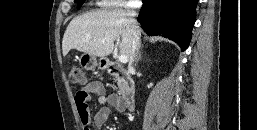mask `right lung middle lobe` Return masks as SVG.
Wrapping results in <instances>:
<instances>
[{
	"label": "right lung middle lobe",
	"mask_w": 257,
	"mask_h": 130,
	"mask_svg": "<svg viewBox=\"0 0 257 130\" xmlns=\"http://www.w3.org/2000/svg\"><path fill=\"white\" fill-rule=\"evenodd\" d=\"M85 0H78V4L82 5L84 3Z\"/></svg>",
	"instance_id": "1"
}]
</instances>
